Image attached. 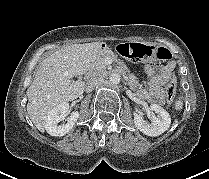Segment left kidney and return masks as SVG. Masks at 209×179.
<instances>
[{
    "instance_id": "5707ae66",
    "label": "left kidney",
    "mask_w": 209,
    "mask_h": 179,
    "mask_svg": "<svg viewBox=\"0 0 209 179\" xmlns=\"http://www.w3.org/2000/svg\"><path fill=\"white\" fill-rule=\"evenodd\" d=\"M133 116L137 129L151 137L161 135L169 129L171 124L169 113L158 104H151L148 110V118L151 123L145 121L137 109L133 112Z\"/></svg>"
}]
</instances>
